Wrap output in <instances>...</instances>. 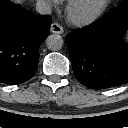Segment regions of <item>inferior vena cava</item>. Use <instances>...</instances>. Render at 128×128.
Segmentation results:
<instances>
[{"instance_id": "602c4592", "label": "inferior vena cava", "mask_w": 128, "mask_h": 128, "mask_svg": "<svg viewBox=\"0 0 128 128\" xmlns=\"http://www.w3.org/2000/svg\"><path fill=\"white\" fill-rule=\"evenodd\" d=\"M36 10L42 15H48L51 13V6L44 0H38L36 3Z\"/></svg>"}]
</instances>
